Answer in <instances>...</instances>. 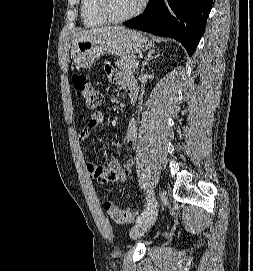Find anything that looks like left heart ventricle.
I'll list each match as a JSON object with an SVG mask.
<instances>
[{
    "mask_svg": "<svg viewBox=\"0 0 253 271\" xmlns=\"http://www.w3.org/2000/svg\"><path fill=\"white\" fill-rule=\"evenodd\" d=\"M141 0H108L109 10L116 16H124L132 12Z\"/></svg>",
    "mask_w": 253,
    "mask_h": 271,
    "instance_id": "obj_1",
    "label": "left heart ventricle"
}]
</instances>
